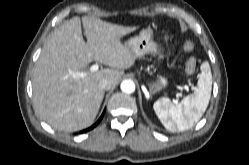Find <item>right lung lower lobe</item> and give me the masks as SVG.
Masks as SVG:
<instances>
[{
    "mask_svg": "<svg viewBox=\"0 0 249 165\" xmlns=\"http://www.w3.org/2000/svg\"><path fill=\"white\" fill-rule=\"evenodd\" d=\"M104 112H105V111H104ZM104 112H103V114L101 115V117L99 118V120H98L94 125H92L90 128H87L86 130H83L82 133H83V132H87V131L93 129L94 127H96V126L100 123L101 119L103 118Z\"/></svg>",
    "mask_w": 249,
    "mask_h": 165,
    "instance_id": "1",
    "label": "right lung lower lobe"
}]
</instances>
